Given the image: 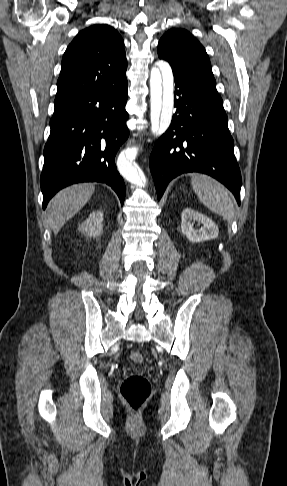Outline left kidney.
Returning <instances> with one entry per match:
<instances>
[{
  "instance_id": "obj_1",
  "label": "left kidney",
  "mask_w": 287,
  "mask_h": 486,
  "mask_svg": "<svg viewBox=\"0 0 287 486\" xmlns=\"http://www.w3.org/2000/svg\"><path fill=\"white\" fill-rule=\"evenodd\" d=\"M195 222L203 226L200 229H195ZM181 231L192 243L212 240L217 238L219 234L218 226L212 219L191 208L184 209L181 214Z\"/></svg>"
}]
</instances>
